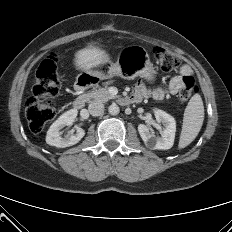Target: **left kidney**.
<instances>
[{"instance_id": "5707ae66", "label": "left kidney", "mask_w": 232, "mask_h": 232, "mask_svg": "<svg viewBox=\"0 0 232 232\" xmlns=\"http://www.w3.org/2000/svg\"><path fill=\"white\" fill-rule=\"evenodd\" d=\"M154 115L157 122L164 126L161 137H155L144 124L138 125L139 134L145 145L151 149H170L174 144L176 121L171 115L160 109L154 110Z\"/></svg>"}]
</instances>
